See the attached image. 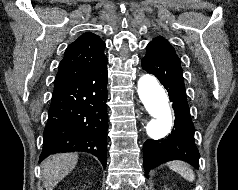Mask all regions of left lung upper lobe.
Masks as SVG:
<instances>
[{"label":"left lung upper lobe","mask_w":238,"mask_h":190,"mask_svg":"<svg viewBox=\"0 0 238 190\" xmlns=\"http://www.w3.org/2000/svg\"><path fill=\"white\" fill-rule=\"evenodd\" d=\"M147 51H150L156 55L179 59L174 48L166 39L162 37H156L153 39L147 45Z\"/></svg>","instance_id":"1"}]
</instances>
